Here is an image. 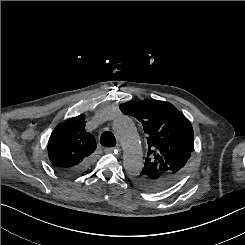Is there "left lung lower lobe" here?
I'll list each match as a JSON object with an SVG mask.
<instances>
[{
  "mask_svg": "<svg viewBox=\"0 0 245 245\" xmlns=\"http://www.w3.org/2000/svg\"><path fill=\"white\" fill-rule=\"evenodd\" d=\"M177 178L175 177H165V178H160L156 185L154 186V191H159L167 188L170 186Z\"/></svg>",
  "mask_w": 245,
  "mask_h": 245,
  "instance_id": "left-lung-lower-lobe-1",
  "label": "left lung lower lobe"
}]
</instances>
